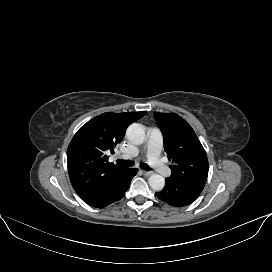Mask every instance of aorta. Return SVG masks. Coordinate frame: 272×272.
I'll list each match as a JSON object with an SVG mask.
<instances>
[{"mask_svg": "<svg viewBox=\"0 0 272 272\" xmlns=\"http://www.w3.org/2000/svg\"><path fill=\"white\" fill-rule=\"evenodd\" d=\"M128 140L135 145H140L145 140V130L141 124L133 123L126 130ZM150 187L155 191H161L165 185V179L159 174H152L148 179Z\"/></svg>", "mask_w": 272, "mask_h": 272, "instance_id": "1", "label": "aorta"}]
</instances>
